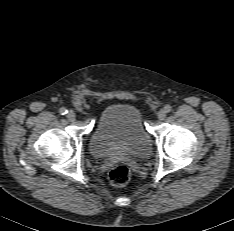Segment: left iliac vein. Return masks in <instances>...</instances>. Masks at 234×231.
Here are the masks:
<instances>
[{
    "label": "left iliac vein",
    "instance_id": "1",
    "mask_svg": "<svg viewBox=\"0 0 234 231\" xmlns=\"http://www.w3.org/2000/svg\"><path fill=\"white\" fill-rule=\"evenodd\" d=\"M159 120H164L166 117V111L164 109L160 110L157 115Z\"/></svg>",
    "mask_w": 234,
    "mask_h": 231
}]
</instances>
